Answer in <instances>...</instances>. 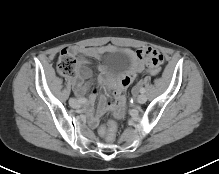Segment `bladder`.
Segmentation results:
<instances>
[{"label": "bladder", "mask_w": 219, "mask_h": 174, "mask_svg": "<svg viewBox=\"0 0 219 174\" xmlns=\"http://www.w3.org/2000/svg\"><path fill=\"white\" fill-rule=\"evenodd\" d=\"M128 61L129 57L122 52L111 53L108 59V65L105 66L108 69L109 76L112 78L115 77L126 67Z\"/></svg>", "instance_id": "31cf9c89"}]
</instances>
